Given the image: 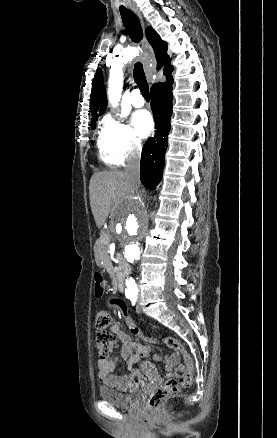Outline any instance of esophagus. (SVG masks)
Wrapping results in <instances>:
<instances>
[{"instance_id":"1","label":"esophagus","mask_w":277,"mask_h":438,"mask_svg":"<svg viewBox=\"0 0 277 438\" xmlns=\"http://www.w3.org/2000/svg\"><path fill=\"white\" fill-rule=\"evenodd\" d=\"M131 8L138 15L139 19L141 20L142 25L144 26L143 17L141 16L138 9L135 7H131ZM142 49H143V51L141 53L140 58L144 61L145 59H147V57H151V55L153 53L151 46L148 44V42L145 38L142 40Z\"/></svg>"}]
</instances>
